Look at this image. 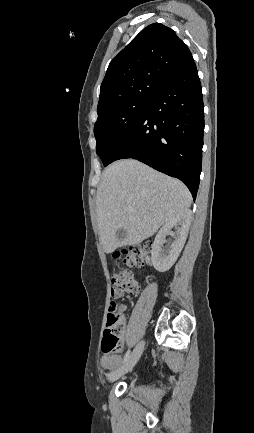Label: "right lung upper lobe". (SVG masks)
<instances>
[{"instance_id":"cb5924a9","label":"right lung upper lobe","mask_w":254,"mask_h":433,"mask_svg":"<svg viewBox=\"0 0 254 433\" xmlns=\"http://www.w3.org/2000/svg\"><path fill=\"white\" fill-rule=\"evenodd\" d=\"M192 61L187 45L171 28L160 23L147 26L110 62L97 111L129 99H151Z\"/></svg>"}]
</instances>
